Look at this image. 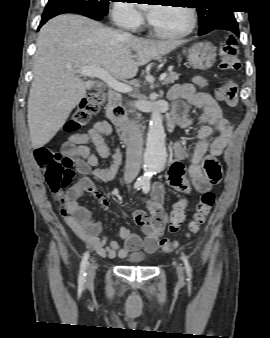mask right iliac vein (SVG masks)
<instances>
[{
	"label": "right iliac vein",
	"mask_w": 270,
	"mask_h": 338,
	"mask_svg": "<svg viewBox=\"0 0 270 338\" xmlns=\"http://www.w3.org/2000/svg\"><path fill=\"white\" fill-rule=\"evenodd\" d=\"M96 266L95 264H90L87 270V284H91L95 278Z\"/></svg>",
	"instance_id": "right-iliac-vein-1"
}]
</instances>
